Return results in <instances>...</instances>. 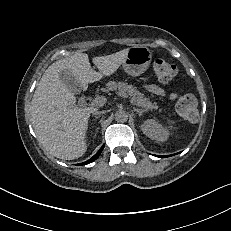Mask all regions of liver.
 I'll return each mask as SVG.
<instances>
[{"label":"liver","instance_id":"1","mask_svg":"<svg viewBox=\"0 0 231 231\" xmlns=\"http://www.w3.org/2000/svg\"><path fill=\"white\" fill-rule=\"evenodd\" d=\"M129 48L111 55L94 57L90 66L86 53H75L51 64L37 84L31 101V123L45 151L65 160L81 157L87 150L86 131L96 108L75 106L76 97L61 81L60 72L69 70L85 91L89 83L110 76L123 64Z\"/></svg>","mask_w":231,"mask_h":231}]
</instances>
